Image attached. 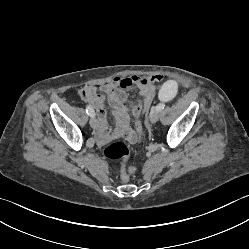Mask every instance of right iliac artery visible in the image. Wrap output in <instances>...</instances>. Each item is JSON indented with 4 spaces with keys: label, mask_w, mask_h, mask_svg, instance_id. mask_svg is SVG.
Segmentation results:
<instances>
[{
    "label": "right iliac artery",
    "mask_w": 249,
    "mask_h": 249,
    "mask_svg": "<svg viewBox=\"0 0 249 249\" xmlns=\"http://www.w3.org/2000/svg\"><path fill=\"white\" fill-rule=\"evenodd\" d=\"M86 113L90 116V117H94L95 116V112L93 110V108L89 105L86 106Z\"/></svg>",
    "instance_id": "82829eb1"
}]
</instances>
